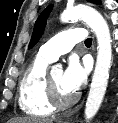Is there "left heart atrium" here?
<instances>
[{
    "label": "left heart atrium",
    "instance_id": "39dd6f15",
    "mask_svg": "<svg viewBox=\"0 0 118 123\" xmlns=\"http://www.w3.org/2000/svg\"><path fill=\"white\" fill-rule=\"evenodd\" d=\"M88 67L80 63L77 57L69 58L63 73V84L72 93L77 92L86 82Z\"/></svg>",
    "mask_w": 118,
    "mask_h": 123
}]
</instances>
